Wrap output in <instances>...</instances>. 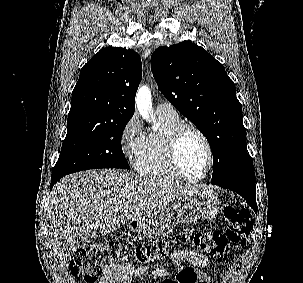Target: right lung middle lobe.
<instances>
[{
  "label": "right lung middle lobe",
  "instance_id": "1",
  "mask_svg": "<svg viewBox=\"0 0 303 283\" xmlns=\"http://www.w3.org/2000/svg\"><path fill=\"white\" fill-rule=\"evenodd\" d=\"M128 121L68 119L67 135L52 174L67 175L98 168L129 169L121 147Z\"/></svg>",
  "mask_w": 303,
  "mask_h": 283
}]
</instances>
